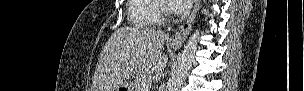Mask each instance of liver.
<instances>
[{
	"mask_svg": "<svg viewBox=\"0 0 304 91\" xmlns=\"http://www.w3.org/2000/svg\"><path fill=\"white\" fill-rule=\"evenodd\" d=\"M167 35L152 28H120L103 47L93 79V91H116L131 77L164 70Z\"/></svg>",
	"mask_w": 304,
	"mask_h": 91,
	"instance_id": "liver-1",
	"label": "liver"
}]
</instances>
